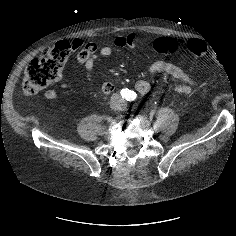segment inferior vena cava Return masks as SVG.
<instances>
[{
    "label": "inferior vena cava",
    "instance_id": "obj_1",
    "mask_svg": "<svg viewBox=\"0 0 236 236\" xmlns=\"http://www.w3.org/2000/svg\"><path fill=\"white\" fill-rule=\"evenodd\" d=\"M124 100L118 93H114L110 99V106L114 110H120L123 105Z\"/></svg>",
    "mask_w": 236,
    "mask_h": 236
}]
</instances>
